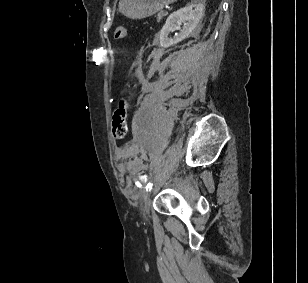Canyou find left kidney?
Here are the masks:
<instances>
[{
  "label": "left kidney",
  "mask_w": 308,
  "mask_h": 283,
  "mask_svg": "<svg viewBox=\"0 0 308 283\" xmlns=\"http://www.w3.org/2000/svg\"><path fill=\"white\" fill-rule=\"evenodd\" d=\"M204 9L203 0H193L191 4L170 14L159 33L160 46L163 48L170 47L190 35L202 19ZM182 24L184 26L181 28ZM176 30H179L180 33H176L173 38H169V33Z\"/></svg>",
  "instance_id": "1"
}]
</instances>
